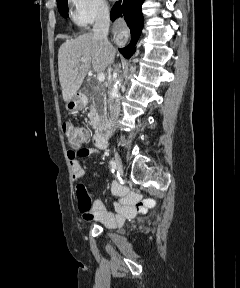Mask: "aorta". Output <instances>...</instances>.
<instances>
[{
  "instance_id": "aorta-1",
  "label": "aorta",
  "mask_w": 240,
  "mask_h": 288,
  "mask_svg": "<svg viewBox=\"0 0 240 288\" xmlns=\"http://www.w3.org/2000/svg\"><path fill=\"white\" fill-rule=\"evenodd\" d=\"M120 84H121V79H117L114 82L113 88L109 94V101H113V99H115L118 96V89L120 87Z\"/></svg>"
}]
</instances>
